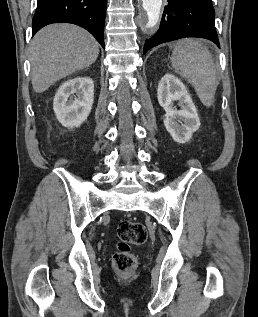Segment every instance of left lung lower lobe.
Returning a JSON list of instances; mask_svg holds the SVG:
<instances>
[{"mask_svg": "<svg viewBox=\"0 0 258 317\" xmlns=\"http://www.w3.org/2000/svg\"><path fill=\"white\" fill-rule=\"evenodd\" d=\"M212 0H168L158 32L147 39L144 54L154 46L185 37L205 38L218 47Z\"/></svg>", "mask_w": 258, "mask_h": 317, "instance_id": "1", "label": "left lung lower lobe"}]
</instances>
